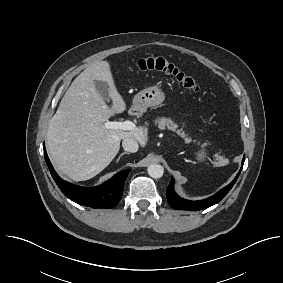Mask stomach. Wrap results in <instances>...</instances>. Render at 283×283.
<instances>
[{"label":"stomach","instance_id":"obj_1","mask_svg":"<svg viewBox=\"0 0 283 283\" xmlns=\"http://www.w3.org/2000/svg\"><path fill=\"white\" fill-rule=\"evenodd\" d=\"M165 99V93L158 85H153L138 92L133 98L134 110L142 113L149 107L160 105ZM202 155V154H201Z\"/></svg>","mask_w":283,"mask_h":283}]
</instances>
